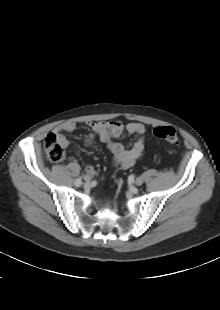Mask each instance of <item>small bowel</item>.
Returning a JSON list of instances; mask_svg holds the SVG:
<instances>
[{
  "label": "small bowel",
  "mask_w": 220,
  "mask_h": 310,
  "mask_svg": "<svg viewBox=\"0 0 220 310\" xmlns=\"http://www.w3.org/2000/svg\"><path fill=\"white\" fill-rule=\"evenodd\" d=\"M90 133L85 139V145H89L96 137L104 139L117 138L123 133L136 135L138 138L130 148L125 145L109 141L108 148L113 154V166L120 169H129L133 167L137 160L142 156L145 149L146 127L139 122H130L126 125L119 121L94 122L89 125ZM76 124L72 121H66L54 129V133L59 137L64 147L68 146L64 132H73ZM86 175H94L95 170L92 166H86Z\"/></svg>",
  "instance_id": "1"
}]
</instances>
